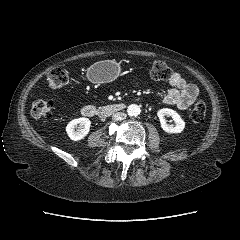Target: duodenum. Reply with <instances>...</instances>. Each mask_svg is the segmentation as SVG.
<instances>
[{
  "instance_id": "duodenum-1",
  "label": "duodenum",
  "mask_w": 240,
  "mask_h": 240,
  "mask_svg": "<svg viewBox=\"0 0 240 240\" xmlns=\"http://www.w3.org/2000/svg\"><path fill=\"white\" fill-rule=\"evenodd\" d=\"M125 107L124 104L122 103H112V104H107L101 107H96L94 105H85L81 109V113L85 117L89 118H106L111 116L114 113H117L121 110H123Z\"/></svg>"
}]
</instances>
